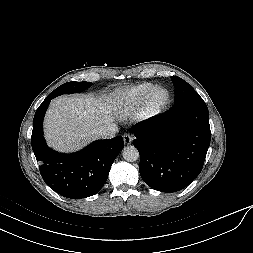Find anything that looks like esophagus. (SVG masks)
I'll return each instance as SVG.
<instances>
[{
  "instance_id": "1",
  "label": "esophagus",
  "mask_w": 253,
  "mask_h": 253,
  "mask_svg": "<svg viewBox=\"0 0 253 253\" xmlns=\"http://www.w3.org/2000/svg\"><path fill=\"white\" fill-rule=\"evenodd\" d=\"M123 141L126 145H130L133 141V136L130 133H124Z\"/></svg>"
}]
</instances>
